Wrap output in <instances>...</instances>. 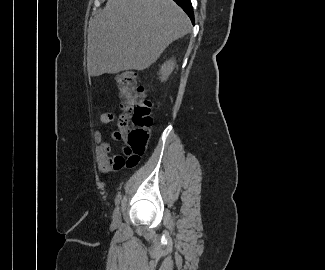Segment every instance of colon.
<instances>
[{"instance_id":"1","label":"colon","mask_w":325,"mask_h":270,"mask_svg":"<svg viewBox=\"0 0 325 270\" xmlns=\"http://www.w3.org/2000/svg\"><path fill=\"white\" fill-rule=\"evenodd\" d=\"M122 114L114 139L124 143L129 167L136 166L144 154L152 125L151 102L145 97L138 76L125 71L116 77Z\"/></svg>"}]
</instances>
